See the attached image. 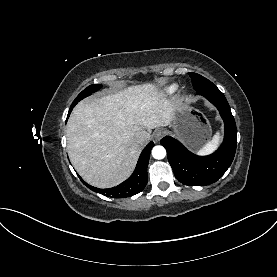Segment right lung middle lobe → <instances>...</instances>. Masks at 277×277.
<instances>
[{
    "label": "right lung middle lobe",
    "instance_id": "obj_1",
    "mask_svg": "<svg viewBox=\"0 0 277 277\" xmlns=\"http://www.w3.org/2000/svg\"><path fill=\"white\" fill-rule=\"evenodd\" d=\"M102 87V85L100 84H94V85H90L88 86L86 89H84L77 97L76 99L73 101L70 109H69V113L68 116L70 115L72 109L74 108V106L83 98L91 95V93H94L95 91L99 90Z\"/></svg>",
    "mask_w": 277,
    "mask_h": 277
}]
</instances>
